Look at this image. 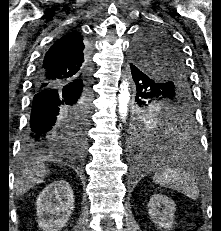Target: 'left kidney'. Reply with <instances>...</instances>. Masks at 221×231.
Segmentation results:
<instances>
[{
	"label": "left kidney",
	"instance_id": "1",
	"mask_svg": "<svg viewBox=\"0 0 221 231\" xmlns=\"http://www.w3.org/2000/svg\"><path fill=\"white\" fill-rule=\"evenodd\" d=\"M148 207L150 218L155 225L165 230L172 228L176 205L171 198L162 194H154L150 198Z\"/></svg>",
	"mask_w": 221,
	"mask_h": 231
}]
</instances>
